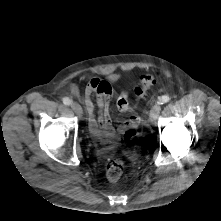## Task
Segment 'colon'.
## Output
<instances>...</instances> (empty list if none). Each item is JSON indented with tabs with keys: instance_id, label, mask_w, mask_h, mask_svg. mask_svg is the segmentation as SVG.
I'll return each mask as SVG.
<instances>
[{
	"instance_id": "colon-1",
	"label": "colon",
	"mask_w": 221,
	"mask_h": 221,
	"mask_svg": "<svg viewBox=\"0 0 221 221\" xmlns=\"http://www.w3.org/2000/svg\"><path fill=\"white\" fill-rule=\"evenodd\" d=\"M98 79V78H97ZM157 82L156 76L153 74H144L141 76L139 84L135 87V95L139 98L143 97L148 89H150ZM118 102L121 105H128V95L123 93ZM117 102V104H118ZM135 136V129H129L125 133V140H131ZM124 162L121 159L110 161L105 167L106 178L109 182H117L124 172Z\"/></svg>"
}]
</instances>
